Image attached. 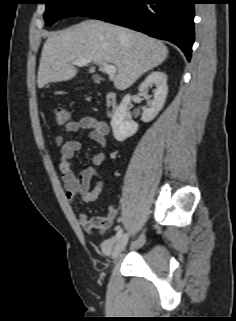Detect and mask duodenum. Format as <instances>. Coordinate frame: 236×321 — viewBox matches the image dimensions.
I'll return each instance as SVG.
<instances>
[{"label":"duodenum","mask_w":236,"mask_h":321,"mask_svg":"<svg viewBox=\"0 0 236 321\" xmlns=\"http://www.w3.org/2000/svg\"><path fill=\"white\" fill-rule=\"evenodd\" d=\"M107 114L113 116L118 108L117 95L113 91H107L105 96Z\"/></svg>","instance_id":"410a0bca"}]
</instances>
